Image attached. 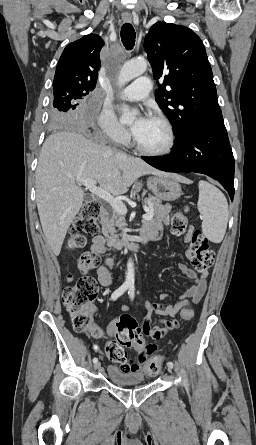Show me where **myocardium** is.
<instances>
[{
    "mask_svg": "<svg viewBox=\"0 0 256 445\" xmlns=\"http://www.w3.org/2000/svg\"><path fill=\"white\" fill-rule=\"evenodd\" d=\"M149 119L157 121L165 127L167 134H168V141H167L166 146L163 147L162 149L150 150V149H147V148L143 147L142 145H140L139 142L137 141V139L135 138V136H133L132 144H133L134 148L141 154H144L147 156L160 157V156L168 155L169 153L172 152V150L175 147V143H176V134H175V130H174L172 123L166 117H164L162 115H152V116H150Z\"/></svg>",
    "mask_w": 256,
    "mask_h": 445,
    "instance_id": "1",
    "label": "myocardium"
}]
</instances>
